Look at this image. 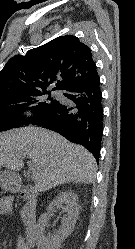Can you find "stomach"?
<instances>
[{"label":"stomach","mask_w":135,"mask_h":249,"mask_svg":"<svg viewBox=\"0 0 135 249\" xmlns=\"http://www.w3.org/2000/svg\"><path fill=\"white\" fill-rule=\"evenodd\" d=\"M0 183H2V185H4L6 188L10 189L13 185L17 184V178L15 174L8 171L3 172L0 168Z\"/></svg>","instance_id":"stomach-1"}]
</instances>
